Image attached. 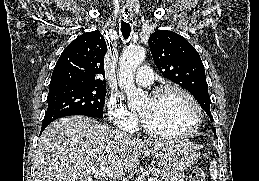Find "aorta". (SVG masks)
<instances>
[{
	"label": "aorta",
	"instance_id": "762f6f07",
	"mask_svg": "<svg viewBox=\"0 0 259 181\" xmlns=\"http://www.w3.org/2000/svg\"><path fill=\"white\" fill-rule=\"evenodd\" d=\"M145 56L146 52L142 46H134L125 49L119 60V86L127 95L130 109L139 108L146 98L145 92L137 89L134 84L135 71Z\"/></svg>",
	"mask_w": 259,
	"mask_h": 181
}]
</instances>
